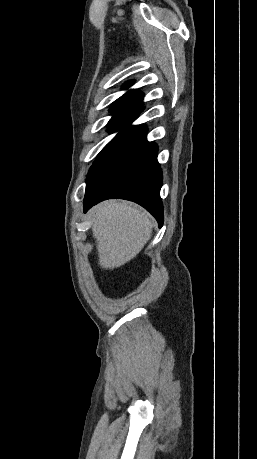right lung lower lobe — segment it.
<instances>
[{
    "label": "right lung lower lobe",
    "mask_w": 257,
    "mask_h": 459,
    "mask_svg": "<svg viewBox=\"0 0 257 459\" xmlns=\"http://www.w3.org/2000/svg\"><path fill=\"white\" fill-rule=\"evenodd\" d=\"M135 114L112 139L91 166L84 198V211L110 198L134 201L163 224L160 198L162 172L157 161V145L146 139L143 125L130 126Z\"/></svg>",
    "instance_id": "1"
}]
</instances>
